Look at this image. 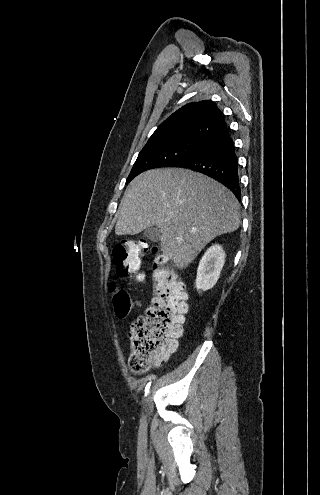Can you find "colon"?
<instances>
[{"mask_svg":"<svg viewBox=\"0 0 320 495\" xmlns=\"http://www.w3.org/2000/svg\"><path fill=\"white\" fill-rule=\"evenodd\" d=\"M148 250L146 241L119 242L113 250L117 275L120 278L136 276L141 280L142 257ZM153 251L156 252L155 249ZM153 284L151 304L143 315L132 322L128 332L131 344L129 366L135 373L147 371L176 349L188 309L182 282L161 256L156 259ZM110 291L117 316H128L133 307L130 294L117 286H112Z\"/></svg>","mask_w":320,"mask_h":495,"instance_id":"colon-1","label":"colon"}]
</instances>
